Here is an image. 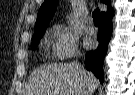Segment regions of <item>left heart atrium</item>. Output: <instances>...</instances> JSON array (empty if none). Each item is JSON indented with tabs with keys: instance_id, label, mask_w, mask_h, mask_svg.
<instances>
[{
	"instance_id": "left-heart-atrium-1",
	"label": "left heart atrium",
	"mask_w": 135,
	"mask_h": 95,
	"mask_svg": "<svg viewBox=\"0 0 135 95\" xmlns=\"http://www.w3.org/2000/svg\"><path fill=\"white\" fill-rule=\"evenodd\" d=\"M91 45H92L91 42H87V43H86V46H87V47H91Z\"/></svg>"
}]
</instances>
